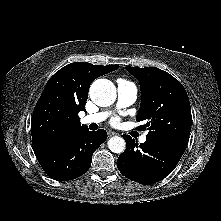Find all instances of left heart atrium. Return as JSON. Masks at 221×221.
Wrapping results in <instances>:
<instances>
[{
    "instance_id": "1",
    "label": "left heart atrium",
    "mask_w": 221,
    "mask_h": 221,
    "mask_svg": "<svg viewBox=\"0 0 221 221\" xmlns=\"http://www.w3.org/2000/svg\"><path fill=\"white\" fill-rule=\"evenodd\" d=\"M119 123V119L118 118H113L112 119V124L113 125H117Z\"/></svg>"
}]
</instances>
